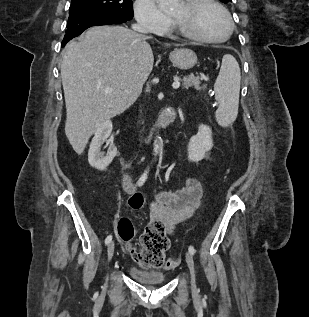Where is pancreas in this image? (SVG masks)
I'll list each match as a JSON object with an SVG mask.
<instances>
[{
	"label": "pancreas",
	"instance_id": "1",
	"mask_svg": "<svg viewBox=\"0 0 309 317\" xmlns=\"http://www.w3.org/2000/svg\"><path fill=\"white\" fill-rule=\"evenodd\" d=\"M204 79V77H198L193 74L187 75L181 79L182 88L188 89L189 87H194L195 89H200V80Z\"/></svg>",
	"mask_w": 309,
	"mask_h": 317
}]
</instances>
